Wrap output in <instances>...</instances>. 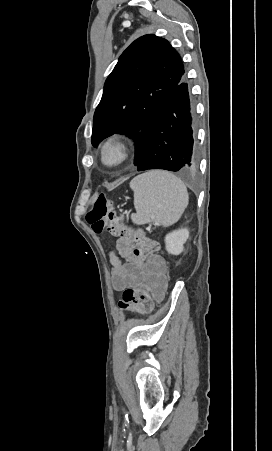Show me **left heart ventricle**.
I'll use <instances>...</instances> for the list:
<instances>
[{"label":"left heart ventricle","mask_w":272,"mask_h":451,"mask_svg":"<svg viewBox=\"0 0 272 451\" xmlns=\"http://www.w3.org/2000/svg\"><path fill=\"white\" fill-rule=\"evenodd\" d=\"M115 159H116V157H115L113 154H110V155L108 156V160H109L110 162H114Z\"/></svg>","instance_id":"b2bd125f"}]
</instances>
